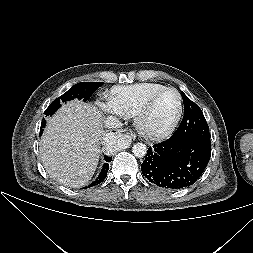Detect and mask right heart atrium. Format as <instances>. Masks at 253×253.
<instances>
[{
    "instance_id": "1",
    "label": "right heart atrium",
    "mask_w": 253,
    "mask_h": 253,
    "mask_svg": "<svg viewBox=\"0 0 253 253\" xmlns=\"http://www.w3.org/2000/svg\"><path fill=\"white\" fill-rule=\"evenodd\" d=\"M102 111L106 113H117L110 102H97L96 104Z\"/></svg>"
}]
</instances>
